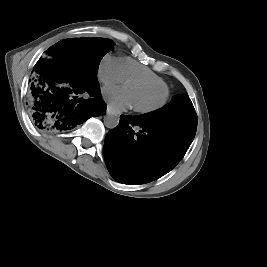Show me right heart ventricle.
<instances>
[{
  "label": "right heart ventricle",
  "instance_id": "obj_1",
  "mask_svg": "<svg viewBox=\"0 0 267 267\" xmlns=\"http://www.w3.org/2000/svg\"><path fill=\"white\" fill-rule=\"evenodd\" d=\"M121 71L125 80L131 77H144L155 82H159L168 88L166 82L162 77L157 75L149 67L140 64L139 62L125 57L121 58Z\"/></svg>",
  "mask_w": 267,
  "mask_h": 267
}]
</instances>
